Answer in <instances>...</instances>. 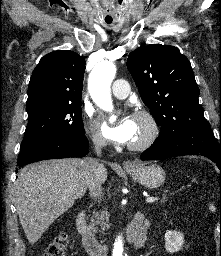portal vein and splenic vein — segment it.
I'll return each instance as SVG.
<instances>
[{"instance_id":"1","label":"portal vein and splenic vein","mask_w":221,"mask_h":256,"mask_svg":"<svg viewBox=\"0 0 221 256\" xmlns=\"http://www.w3.org/2000/svg\"><path fill=\"white\" fill-rule=\"evenodd\" d=\"M157 200H158L157 197H147V198H146V202H147V203H152V202H155V201H157Z\"/></svg>"}]
</instances>
